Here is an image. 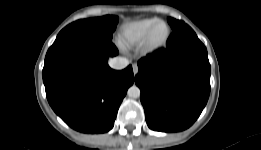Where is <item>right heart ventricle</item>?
<instances>
[{
	"mask_svg": "<svg viewBox=\"0 0 261 150\" xmlns=\"http://www.w3.org/2000/svg\"><path fill=\"white\" fill-rule=\"evenodd\" d=\"M159 19L143 18L125 24L119 34V42L123 46H135L142 43L150 27Z\"/></svg>",
	"mask_w": 261,
	"mask_h": 150,
	"instance_id": "obj_1",
	"label": "right heart ventricle"
}]
</instances>
